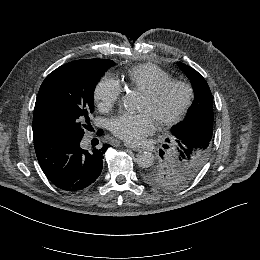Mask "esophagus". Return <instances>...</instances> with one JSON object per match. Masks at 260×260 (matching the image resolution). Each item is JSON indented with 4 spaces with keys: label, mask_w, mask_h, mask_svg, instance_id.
Instances as JSON below:
<instances>
[{
    "label": "esophagus",
    "mask_w": 260,
    "mask_h": 260,
    "mask_svg": "<svg viewBox=\"0 0 260 260\" xmlns=\"http://www.w3.org/2000/svg\"><path fill=\"white\" fill-rule=\"evenodd\" d=\"M124 145H125L126 147H128V148H130V149L136 151V152L141 151V148H140V147H138L137 145L132 144V143H130V142H125Z\"/></svg>",
    "instance_id": "obj_1"
}]
</instances>
